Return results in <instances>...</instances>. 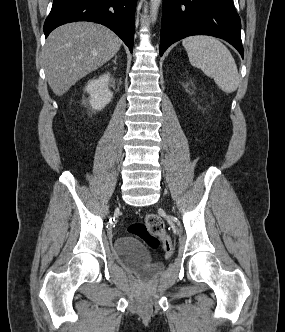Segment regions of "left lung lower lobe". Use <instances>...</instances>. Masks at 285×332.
I'll return each mask as SVG.
<instances>
[{"label": "left lung lower lobe", "instance_id": "obj_1", "mask_svg": "<svg viewBox=\"0 0 285 332\" xmlns=\"http://www.w3.org/2000/svg\"><path fill=\"white\" fill-rule=\"evenodd\" d=\"M240 30L233 0H163L160 56L182 38L210 35L229 42L243 58Z\"/></svg>", "mask_w": 285, "mask_h": 332}]
</instances>
